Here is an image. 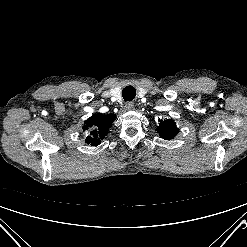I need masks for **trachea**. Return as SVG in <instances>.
<instances>
[{"label": "trachea", "mask_w": 247, "mask_h": 247, "mask_svg": "<svg viewBox=\"0 0 247 247\" xmlns=\"http://www.w3.org/2000/svg\"><path fill=\"white\" fill-rule=\"evenodd\" d=\"M136 90L133 86H126L122 91V96L125 101H132L135 98Z\"/></svg>", "instance_id": "obj_1"}]
</instances>
